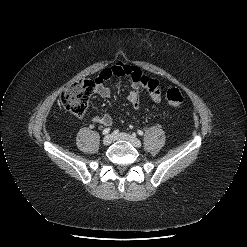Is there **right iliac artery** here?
<instances>
[{"label":"right iliac artery","mask_w":247,"mask_h":247,"mask_svg":"<svg viewBox=\"0 0 247 247\" xmlns=\"http://www.w3.org/2000/svg\"><path fill=\"white\" fill-rule=\"evenodd\" d=\"M110 132V128H105L102 132L103 135H106Z\"/></svg>","instance_id":"82829eb1"}]
</instances>
